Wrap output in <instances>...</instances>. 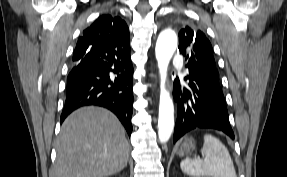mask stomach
<instances>
[{
    "instance_id": "0dacf381",
    "label": "stomach",
    "mask_w": 287,
    "mask_h": 177,
    "mask_svg": "<svg viewBox=\"0 0 287 177\" xmlns=\"http://www.w3.org/2000/svg\"><path fill=\"white\" fill-rule=\"evenodd\" d=\"M194 149H195L194 139L190 136H187L184 138L177 154L179 156H185V155H188Z\"/></svg>"
}]
</instances>
